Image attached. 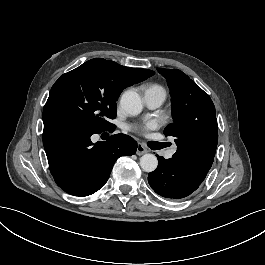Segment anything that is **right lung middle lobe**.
<instances>
[{
  "label": "right lung middle lobe",
  "instance_id": "1",
  "mask_svg": "<svg viewBox=\"0 0 265 265\" xmlns=\"http://www.w3.org/2000/svg\"><path fill=\"white\" fill-rule=\"evenodd\" d=\"M128 85L102 58L89 60L63 74L53 85L44 106V117H60L94 133L114 129L116 101Z\"/></svg>",
  "mask_w": 265,
  "mask_h": 265
}]
</instances>
